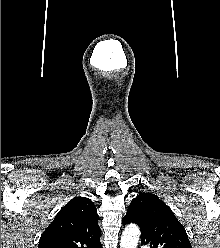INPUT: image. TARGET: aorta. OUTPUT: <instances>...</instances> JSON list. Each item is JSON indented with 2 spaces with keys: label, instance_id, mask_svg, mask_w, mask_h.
I'll return each mask as SVG.
<instances>
[{
  "label": "aorta",
  "instance_id": "762f6f07",
  "mask_svg": "<svg viewBox=\"0 0 220 248\" xmlns=\"http://www.w3.org/2000/svg\"><path fill=\"white\" fill-rule=\"evenodd\" d=\"M139 237H140L139 228L134 224L128 225L123 231L120 247L137 248Z\"/></svg>",
  "mask_w": 220,
  "mask_h": 248
}]
</instances>
